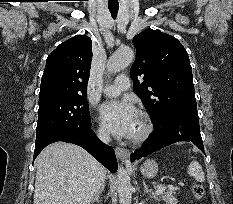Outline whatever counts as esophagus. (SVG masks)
<instances>
[{
	"label": "esophagus",
	"mask_w": 233,
	"mask_h": 204,
	"mask_svg": "<svg viewBox=\"0 0 233 204\" xmlns=\"http://www.w3.org/2000/svg\"><path fill=\"white\" fill-rule=\"evenodd\" d=\"M115 154L120 160L128 159L129 157V150L122 147L115 148Z\"/></svg>",
	"instance_id": "1"
}]
</instances>
